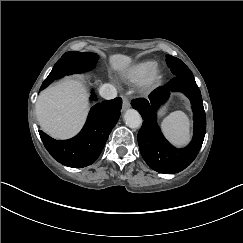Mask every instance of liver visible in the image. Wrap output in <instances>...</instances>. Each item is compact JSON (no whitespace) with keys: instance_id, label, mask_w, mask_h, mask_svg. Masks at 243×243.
<instances>
[{"instance_id":"liver-1","label":"liver","mask_w":243,"mask_h":243,"mask_svg":"<svg viewBox=\"0 0 243 243\" xmlns=\"http://www.w3.org/2000/svg\"><path fill=\"white\" fill-rule=\"evenodd\" d=\"M129 56H110L111 67L119 72L128 69ZM82 77H66L42 91L36 102V116L41 129L56 139H68L82 128L88 111V93Z\"/></svg>"}]
</instances>
